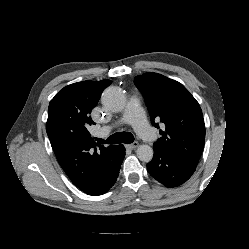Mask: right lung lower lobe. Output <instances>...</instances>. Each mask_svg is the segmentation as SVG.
Wrapping results in <instances>:
<instances>
[{"label":"right lung lower lobe","instance_id":"1","mask_svg":"<svg viewBox=\"0 0 249 249\" xmlns=\"http://www.w3.org/2000/svg\"><path fill=\"white\" fill-rule=\"evenodd\" d=\"M114 153L117 156L115 166L112 168V170L109 172V174L106 175L105 178L100 180L96 184L94 189L90 193H87V194L93 195V196L102 195V194L106 193L116 182V179H117L118 174H119V169H120L121 163H122L124 156H125L124 146L123 145H116L114 148Z\"/></svg>","mask_w":249,"mask_h":249}]
</instances>
